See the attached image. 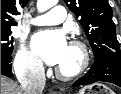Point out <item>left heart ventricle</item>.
Masks as SVG:
<instances>
[{
  "label": "left heart ventricle",
  "instance_id": "obj_1",
  "mask_svg": "<svg viewBox=\"0 0 121 94\" xmlns=\"http://www.w3.org/2000/svg\"><path fill=\"white\" fill-rule=\"evenodd\" d=\"M79 62L80 54L78 50L69 45L67 48V52L63 60L58 64V67L65 71H71L79 65Z\"/></svg>",
  "mask_w": 121,
  "mask_h": 94
}]
</instances>
